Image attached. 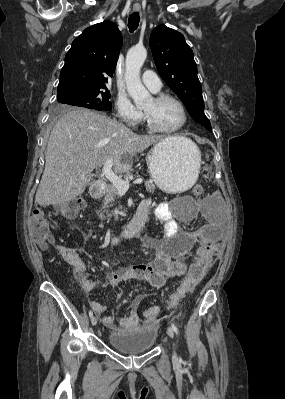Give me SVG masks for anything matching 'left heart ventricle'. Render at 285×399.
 <instances>
[{"mask_svg":"<svg viewBox=\"0 0 285 399\" xmlns=\"http://www.w3.org/2000/svg\"><path fill=\"white\" fill-rule=\"evenodd\" d=\"M143 110L151 116L158 126L163 128L176 127L183 120L179 105L171 100L157 103L152 98L144 105Z\"/></svg>","mask_w":285,"mask_h":399,"instance_id":"b2bd125f","label":"left heart ventricle"}]
</instances>
